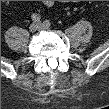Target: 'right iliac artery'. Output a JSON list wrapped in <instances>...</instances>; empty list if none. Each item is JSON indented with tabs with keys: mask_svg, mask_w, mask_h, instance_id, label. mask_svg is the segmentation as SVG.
<instances>
[{
	"mask_svg": "<svg viewBox=\"0 0 109 109\" xmlns=\"http://www.w3.org/2000/svg\"><path fill=\"white\" fill-rule=\"evenodd\" d=\"M31 18L34 22H39L41 20V16L39 14H33Z\"/></svg>",
	"mask_w": 109,
	"mask_h": 109,
	"instance_id": "right-iliac-artery-1",
	"label": "right iliac artery"
}]
</instances>
